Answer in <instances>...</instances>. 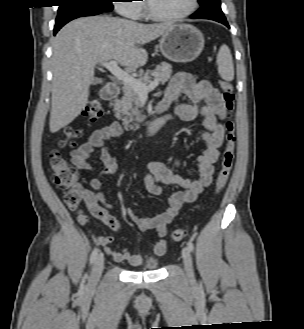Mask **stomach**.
I'll use <instances>...</instances> for the list:
<instances>
[{
	"mask_svg": "<svg viewBox=\"0 0 304 329\" xmlns=\"http://www.w3.org/2000/svg\"><path fill=\"white\" fill-rule=\"evenodd\" d=\"M160 51L170 61L187 63L196 59L204 48L200 30L189 24H174L162 34Z\"/></svg>",
	"mask_w": 304,
	"mask_h": 329,
	"instance_id": "obj_1",
	"label": "stomach"
}]
</instances>
